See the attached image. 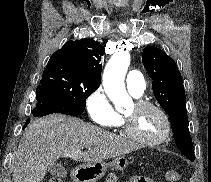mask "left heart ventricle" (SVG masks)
Wrapping results in <instances>:
<instances>
[{"instance_id": "1", "label": "left heart ventricle", "mask_w": 211, "mask_h": 182, "mask_svg": "<svg viewBox=\"0 0 211 182\" xmlns=\"http://www.w3.org/2000/svg\"><path fill=\"white\" fill-rule=\"evenodd\" d=\"M125 115L130 118L134 132L143 139H156L164 130L163 119L152 108L139 109L133 104Z\"/></svg>"}]
</instances>
